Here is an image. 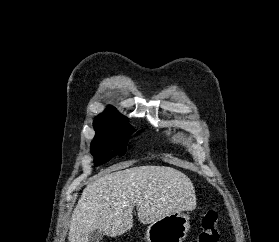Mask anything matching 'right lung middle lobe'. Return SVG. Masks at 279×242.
Returning a JSON list of instances; mask_svg holds the SVG:
<instances>
[{"label": "right lung middle lobe", "instance_id": "dd1d6c3e", "mask_svg": "<svg viewBox=\"0 0 279 242\" xmlns=\"http://www.w3.org/2000/svg\"><path fill=\"white\" fill-rule=\"evenodd\" d=\"M96 135L91 143L95 166L109 161L116 155H124L127 137L134 132L131 125L117 126L111 123L93 124Z\"/></svg>", "mask_w": 279, "mask_h": 242}]
</instances>
